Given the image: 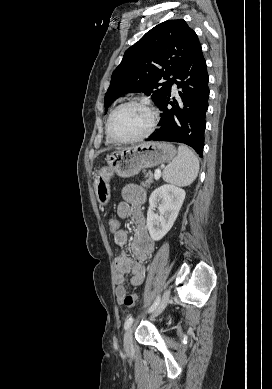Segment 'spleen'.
Returning a JSON list of instances; mask_svg holds the SVG:
<instances>
[{"instance_id":"obj_1","label":"spleen","mask_w":272,"mask_h":389,"mask_svg":"<svg viewBox=\"0 0 272 389\" xmlns=\"http://www.w3.org/2000/svg\"><path fill=\"white\" fill-rule=\"evenodd\" d=\"M198 172L197 156L189 147L180 145L177 157L163 171V180L178 186H188L196 179Z\"/></svg>"}]
</instances>
